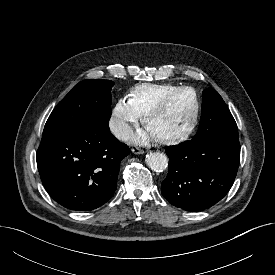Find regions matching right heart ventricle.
Listing matches in <instances>:
<instances>
[{
    "label": "right heart ventricle",
    "mask_w": 275,
    "mask_h": 275,
    "mask_svg": "<svg viewBox=\"0 0 275 275\" xmlns=\"http://www.w3.org/2000/svg\"><path fill=\"white\" fill-rule=\"evenodd\" d=\"M177 87L169 83L139 84L129 92L128 102L140 117H144L164 95Z\"/></svg>",
    "instance_id": "right-heart-ventricle-1"
}]
</instances>
